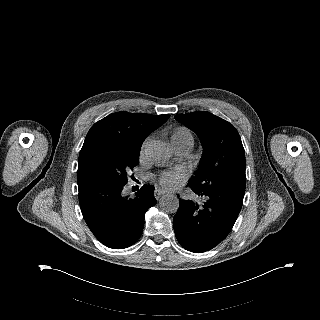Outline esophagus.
Returning a JSON list of instances; mask_svg holds the SVG:
<instances>
[{
    "mask_svg": "<svg viewBox=\"0 0 320 320\" xmlns=\"http://www.w3.org/2000/svg\"><path fill=\"white\" fill-rule=\"evenodd\" d=\"M167 191L161 189V188H156L154 191V196L156 199H159L161 196L165 195Z\"/></svg>",
    "mask_w": 320,
    "mask_h": 320,
    "instance_id": "34e87169",
    "label": "esophagus"
}]
</instances>
